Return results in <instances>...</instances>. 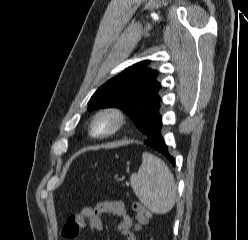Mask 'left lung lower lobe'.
<instances>
[{"label":"left lung lower lobe","instance_id":"0a47b994","mask_svg":"<svg viewBox=\"0 0 248 240\" xmlns=\"http://www.w3.org/2000/svg\"><path fill=\"white\" fill-rule=\"evenodd\" d=\"M161 129H162V117L160 114H157L153 118L149 126V129L145 134L146 139L144 141V144L163 154L173 165H175V159L168 152V148L161 135Z\"/></svg>","mask_w":248,"mask_h":240}]
</instances>
